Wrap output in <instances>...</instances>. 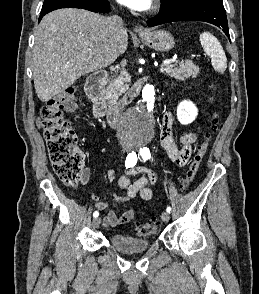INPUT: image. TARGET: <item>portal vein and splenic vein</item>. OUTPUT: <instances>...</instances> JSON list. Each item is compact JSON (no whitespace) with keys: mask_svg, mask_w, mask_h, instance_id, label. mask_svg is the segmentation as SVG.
Wrapping results in <instances>:
<instances>
[{"mask_svg":"<svg viewBox=\"0 0 259 294\" xmlns=\"http://www.w3.org/2000/svg\"><path fill=\"white\" fill-rule=\"evenodd\" d=\"M173 62H176V60H174V59H168V60H164L162 64L163 65H169V64H171Z\"/></svg>","mask_w":259,"mask_h":294,"instance_id":"portal-vein-and-splenic-vein-1","label":"portal vein and splenic vein"}]
</instances>
